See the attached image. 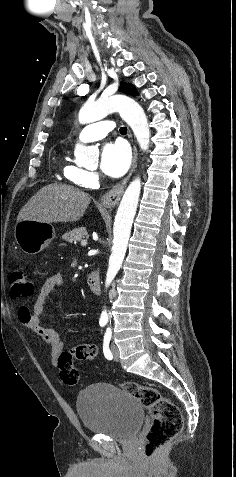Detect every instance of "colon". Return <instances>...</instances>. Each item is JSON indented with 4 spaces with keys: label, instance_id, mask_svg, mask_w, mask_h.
<instances>
[{
    "label": "colon",
    "instance_id": "colon-1",
    "mask_svg": "<svg viewBox=\"0 0 236 477\" xmlns=\"http://www.w3.org/2000/svg\"><path fill=\"white\" fill-rule=\"evenodd\" d=\"M9 278L12 298L21 300L34 295L36 283L28 277L24 268L14 267ZM24 308L27 307H21ZM95 357L92 355L90 344H80L62 352L58 358L60 378L69 386L78 385L80 376L72 366L73 359L92 361ZM122 389L136 398L151 413L152 424L145 437V454L148 458H153L163 446L180 433L183 427L181 411L154 387L127 381L122 384Z\"/></svg>",
    "mask_w": 236,
    "mask_h": 477
}]
</instances>
